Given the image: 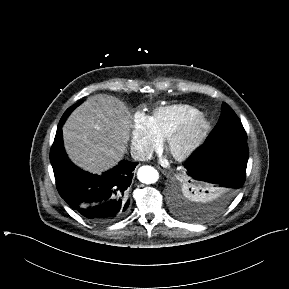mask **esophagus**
Wrapping results in <instances>:
<instances>
[{"label":"esophagus","mask_w":289,"mask_h":289,"mask_svg":"<svg viewBox=\"0 0 289 289\" xmlns=\"http://www.w3.org/2000/svg\"><path fill=\"white\" fill-rule=\"evenodd\" d=\"M161 170V172L164 174V175H168L169 174V172L167 171V170H164V169H160Z\"/></svg>","instance_id":"34e87169"}]
</instances>
